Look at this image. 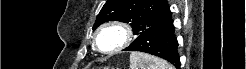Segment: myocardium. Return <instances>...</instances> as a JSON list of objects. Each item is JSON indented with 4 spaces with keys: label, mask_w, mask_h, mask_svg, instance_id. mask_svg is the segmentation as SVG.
Segmentation results:
<instances>
[{
    "label": "myocardium",
    "mask_w": 246,
    "mask_h": 69,
    "mask_svg": "<svg viewBox=\"0 0 246 69\" xmlns=\"http://www.w3.org/2000/svg\"><path fill=\"white\" fill-rule=\"evenodd\" d=\"M108 29H113V30L118 31L122 36L121 42L115 48H113L109 51H101L100 50L101 47H100L99 42H98V37L102 32H104ZM131 40H132V30L128 24H126L122 21H110V22L103 24L95 32L94 37H93L94 46L97 49H99L101 51V53H103V54H112V53H115L117 51H120V50L126 48L130 44Z\"/></svg>",
    "instance_id": "f54148a6"
}]
</instances>
